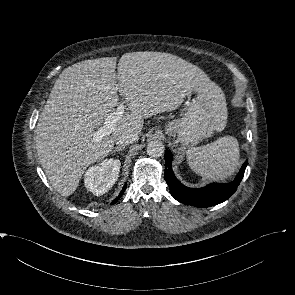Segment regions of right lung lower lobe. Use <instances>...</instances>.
<instances>
[{
    "label": "right lung lower lobe",
    "mask_w": 295,
    "mask_h": 295,
    "mask_svg": "<svg viewBox=\"0 0 295 295\" xmlns=\"http://www.w3.org/2000/svg\"><path fill=\"white\" fill-rule=\"evenodd\" d=\"M125 189H126V184L124 185V187H123V189H122V191H121V193H120V195H119L118 198H120V197L122 196V194H123V192L125 191ZM118 198H116V199L114 200L113 203H116V202L118 201ZM113 203H112V204H113Z\"/></svg>",
    "instance_id": "obj_1"
}]
</instances>
